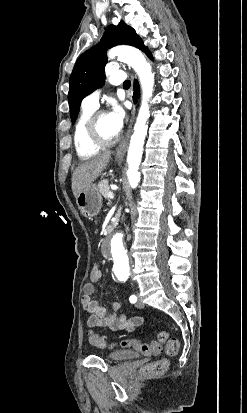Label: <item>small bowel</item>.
<instances>
[{"instance_id": "1", "label": "small bowel", "mask_w": 247, "mask_h": 413, "mask_svg": "<svg viewBox=\"0 0 247 413\" xmlns=\"http://www.w3.org/2000/svg\"><path fill=\"white\" fill-rule=\"evenodd\" d=\"M97 282H86L83 287L82 305L87 313L85 323L90 328L107 327L112 331H133L144 322L142 316L129 318L126 313L120 312L121 305L112 302V313L106 311L104 307L94 298Z\"/></svg>"}]
</instances>
